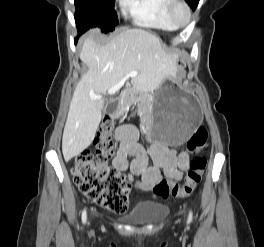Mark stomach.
I'll return each mask as SVG.
<instances>
[{"label":"stomach","mask_w":264,"mask_h":247,"mask_svg":"<svg viewBox=\"0 0 264 247\" xmlns=\"http://www.w3.org/2000/svg\"><path fill=\"white\" fill-rule=\"evenodd\" d=\"M151 116L149 135L166 143V147H179L182 142L190 141L202 119L196 99L186 90H181L171 78H166L154 93Z\"/></svg>","instance_id":"1"}]
</instances>
